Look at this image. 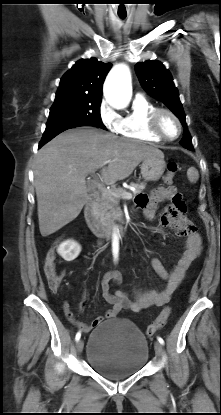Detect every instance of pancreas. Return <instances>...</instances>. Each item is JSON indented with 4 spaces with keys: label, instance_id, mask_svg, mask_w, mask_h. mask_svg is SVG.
I'll return each instance as SVG.
<instances>
[{
    "label": "pancreas",
    "instance_id": "obj_1",
    "mask_svg": "<svg viewBox=\"0 0 221 415\" xmlns=\"http://www.w3.org/2000/svg\"><path fill=\"white\" fill-rule=\"evenodd\" d=\"M130 185L135 188L132 192L133 195L141 193L145 189V183H134ZM111 192H122L123 188H114ZM119 205V198L113 196L109 191L102 192L101 196L96 200L95 212L97 218L102 223H112L117 219V207Z\"/></svg>",
    "mask_w": 221,
    "mask_h": 415
}]
</instances>
